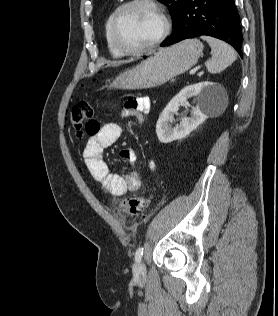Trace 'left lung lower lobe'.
Here are the masks:
<instances>
[{"label": "left lung lower lobe", "instance_id": "obj_1", "mask_svg": "<svg viewBox=\"0 0 278 316\" xmlns=\"http://www.w3.org/2000/svg\"><path fill=\"white\" fill-rule=\"evenodd\" d=\"M202 35L226 41L241 55L243 36L234 0H184L173 32L161 46Z\"/></svg>", "mask_w": 278, "mask_h": 316}]
</instances>
